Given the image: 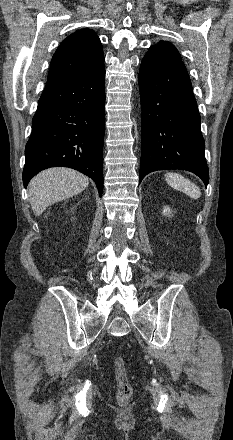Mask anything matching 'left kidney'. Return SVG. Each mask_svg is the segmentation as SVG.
Wrapping results in <instances>:
<instances>
[{"label":"left kidney","mask_w":233,"mask_h":440,"mask_svg":"<svg viewBox=\"0 0 233 440\" xmlns=\"http://www.w3.org/2000/svg\"><path fill=\"white\" fill-rule=\"evenodd\" d=\"M169 213H171V211H170V208L167 206V207L164 208L163 214L164 215H169Z\"/></svg>","instance_id":"obj_1"}]
</instances>
